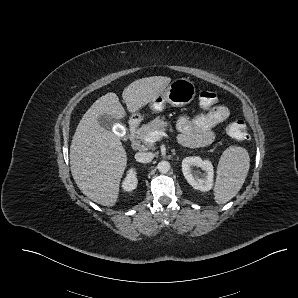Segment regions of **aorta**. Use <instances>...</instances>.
<instances>
[{
  "mask_svg": "<svg viewBox=\"0 0 298 298\" xmlns=\"http://www.w3.org/2000/svg\"><path fill=\"white\" fill-rule=\"evenodd\" d=\"M157 169L162 174L168 173L171 169V164L167 160H161L157 164Z\"/></svg>",
  "mask_w": 298,
  "mask_h": 298,
  "instance_id": "obj_1",
  "label": "aorta"
}]
</instances>
